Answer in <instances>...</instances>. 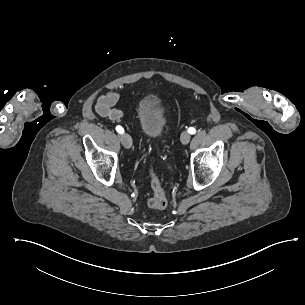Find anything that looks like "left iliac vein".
I'll list each match as a JSON object with an SVG mask.
<instances>
[{
    "label": "left iliac vein",
    "mask_w": 305,
    "mask_h": 305,
    "mask_svg": "<svg viewBox=\"0 0 305 305\" xmlns=\"http://www.w3.org/2000/svg\"><path fill=\"white\" fill-rule=\"evenodd\" d=\"M190 139H191V135L187 131H184L180 136V140L182 144H188Z\"/></svg>",
    "instance_id": "obj_1"
}]
</instances>
